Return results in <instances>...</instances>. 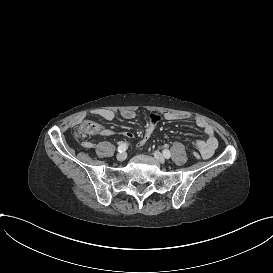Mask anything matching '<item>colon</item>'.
<instances>
[{
    "label": "colon",
    "mask_w": 273,
    "mask_h": 273,
    "mask_svg": "<svg viewBox=\"0 0 273 273\" xmlns=\"http://www.w3.org/2000/svg\"><path fill=\"white\" fill-rule=\"evenodd\" d=\"M149 122L152 125H157L161 122V117L157 113H151L149 116ZM71 136L76 141H81L84 144H89L93 140V136H98L102 132V126L95 122L91 117L85 119L79 118L71 125ZM154 127L147 126L145 129V137L142 140L136 142V147L141 149L147 146L153 138Z\"/></svg>",
    "instance_id": "obj_1"
}]
</instances>
